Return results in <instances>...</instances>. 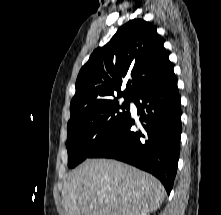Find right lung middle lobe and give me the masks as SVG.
<instances>
[{
	"label": "right lung middle lobe",
	"instance_id": "dd1d6c3e",
	"mask_svg": "<svg viewBox=\"0 0 221 215\" xmlns=\"http://www.w3.org/2000/svg\"><path fill=\"white\" fill-rule=\"evenodd\" d=\"M132 99H116L70 106L67 125L68 167H75L103 143L129 114Z\"/></svg>",
	"mask_w": 221,
	"mask_h": 215
}]
</instances>
